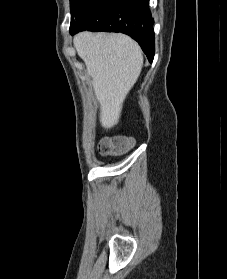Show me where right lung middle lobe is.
<instances>
[{
  "instance_id": "right-lung-middle-lobe-1",
  "label": "right lung middle lobe",
  "mask_w": 227,
  "mask_h": 279,
  "mask_svg": "<svg viewBox=\"0 0 227 279\" xmlns=\"http://www.w3.org/2000/svg\"><path fill=\"white\" fill-rule=\"evenodd\" d=\"M88 1L89 0H70L71 25H73V23L75 22V20L79 16L81 10L88 3Z\"/></svg>"
}]
</instances>
